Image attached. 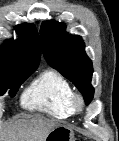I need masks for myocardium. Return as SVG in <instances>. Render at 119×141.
Wrapping results in <instances>:
<instances>
[{
    "instance_id": "myocardium-1",
    "label": "myocardium",
    "mask_w": 119,
    "mask_h": 141,
    "mask_svg": "<svg viewBox=\"0 0 119 141\" xmlns=\"http://www.w3.org/2000/svg\"><path fill=\"white\" fill-rule=\"evenodd\" d=\"M70 106L73 113L81 112L84 107V101L81 95L73 93L70 98Z\"/></svg>"
}]
</instances>
